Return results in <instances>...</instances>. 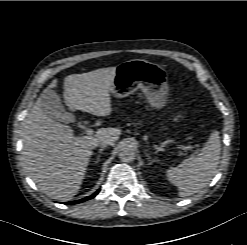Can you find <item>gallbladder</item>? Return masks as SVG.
Returning <instances> with one entry per match:
<instances>
[{"instance_id":"1","label":"gallbladder","mask_w":247,"mask_h":245,"mask_svg":"<svg viewBox=\"0 0 247 245\" xmlns=\"http://www.w3.org/2000/svg\"><path fill=\"white\" fill-rule=\"evenodd\" d=\"M41 109L50 118L60 121L69 122L72 115L68 113L60 99V96L53 89H46L40 97Z\"/></svg>"}]
</instances>
